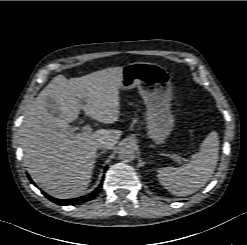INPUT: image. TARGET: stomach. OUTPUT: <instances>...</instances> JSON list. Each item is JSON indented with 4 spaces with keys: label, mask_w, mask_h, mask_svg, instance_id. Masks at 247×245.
Wrapping results in <instances>:
<instances>
[{
    "label": "stomach",
    "mask_w": 247,
    "mask_h": 245,
    "mask_svg": "<svg viewBox=\"0 0 247 245\" xmlns=\"http://www.w3.org/2000/svg\"><path fill=\"white\" fill-rule=\"evenodd\" d=\"M137 87L144 100L147 136L157 145L165 143L174 128L171 113L172 84L167 70L155 63L133 62L122 67L123 90Z\"/></svg>",
    "instance_id": "1"
}]
</instances>
